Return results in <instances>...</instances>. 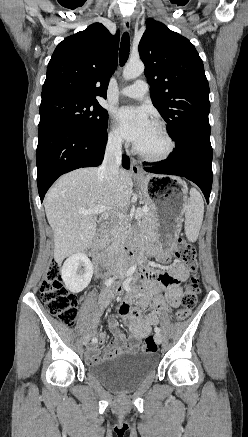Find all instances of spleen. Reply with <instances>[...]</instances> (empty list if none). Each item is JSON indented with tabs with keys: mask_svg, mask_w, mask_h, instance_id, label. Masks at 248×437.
<instances>
[{
	"mask_svg": "<svg viewBox=\"0 0 248 437\" xmlns=\"http://www.w3.org/2000/svg\"><path fill=\"white\" fill-rule=\"evenodd\" d=\"M204 215V202L201 194L195 188L190 190V201L185 210V234L189 241L198 238Z\"/></svg>",
	"mask_w": 248,
	"mask_h": 437,
	"instance_id": "3e777b00",
	"label": "spleen"
}]
</instances>
